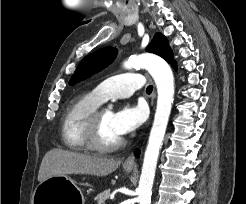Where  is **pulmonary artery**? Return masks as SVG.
I'll use <instances>...</instances> for the list:
<instances>
[{
	"label": "pulmonary artery",
	"mask_w": 246,
	"mask_h": 204,
	"mask_svg": "<svg viewBox=\"0 0 246 204\" xmlns=\"http://www.w3.org/2000/svg\"><path fill=\"white\" fill-rule=\"evenodd\" d=\"M145 79L140 73L129 72L109 77L98 84L92 93L104 102L110 98L130 97L137 89L144 86Z\"/></svg>",
	"instance_id": "e3ab8cb5"
}]
</instances>
